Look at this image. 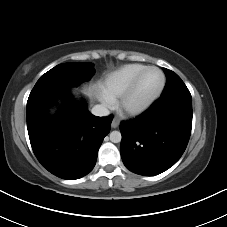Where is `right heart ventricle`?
Here are the masks:
<instances>
[{"label":"right heart ventricle","mask_w":227,"mask_h":227,"mask_svg":"<svg viewBox=\"0 0 227 227\" xmlns=\"http://www.w3.org/2000/svg\"><path fill=\"white\" fill-rule=\"evenodd\" d=\"M145 67L144 64L131 63L113 70L104 77L102 92L112 100L121 97Z\"/></svg>","instance_id":"e07e8e85"}]
</instances>
